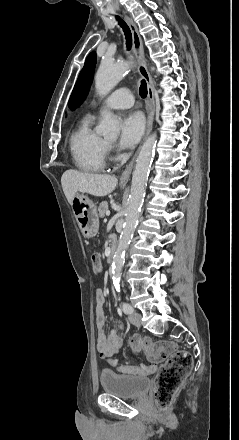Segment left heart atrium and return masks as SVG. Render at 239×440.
<instances>
[{
	"label": "left heart atrium",
	"instance_id": "1",
	"mask_svg": "<svg viewBox=\"0 0 239 440\" xmlns=\"http://www.w3.org/2000/svg\"><path fill=\"white\" fill-rule=\"evenodd\" d=\"M144 131V118L139 112L125 114L119 128V146L129 148L134 146Z\"/></svg>",
	"mask_w": 239,
	"mask_h": 440
}]
</instances>
